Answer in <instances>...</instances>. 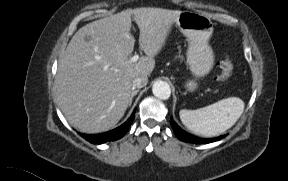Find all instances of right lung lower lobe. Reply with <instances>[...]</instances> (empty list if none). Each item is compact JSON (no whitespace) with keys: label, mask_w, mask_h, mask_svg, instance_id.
Wrapping results in <instances>:
<instances>
[{"label":"right lung lower lobe","mask_w":288,"mask_h":181,"mask_svg":"<svg viewBox=\"0 0 288 181\" xmlns=\"http://www.w3.org/2000/svg\"><path fill=\"white\" fill-rule=\"evenodd\" d=\"M135 117V110L131 117L121 126L101 134H80L85 140L92 144H102L122 138L129 130Z\"/></svg>","instance_id":"obj_1"}]
</instances>
